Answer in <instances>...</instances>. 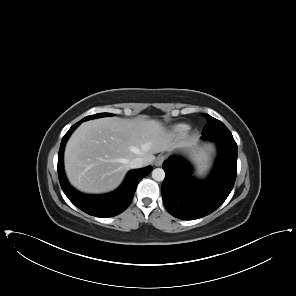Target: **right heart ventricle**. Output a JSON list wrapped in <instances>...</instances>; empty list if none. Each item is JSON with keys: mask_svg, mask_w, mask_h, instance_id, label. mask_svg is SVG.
Returning <instances> with one entry per match:
<instances>
[{"mask_svg": "<svg viewBox=\"0 0 296 296\" xmlns=\"http://www.w3.org/2000/svg\"><path fill=\"white\" fill-rule=\"evenodd\" d=\"M188 130V126L186 125H179L175 128V131L178 133H183Z\"/></svg>", "mask_w": 296, "mask_h": 296, "instance_id": "obj_1", "label": "right heart ventricle"}]
</instances>
